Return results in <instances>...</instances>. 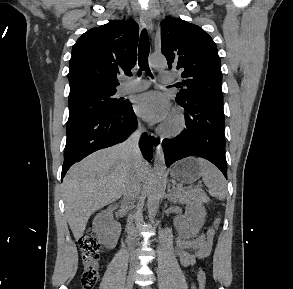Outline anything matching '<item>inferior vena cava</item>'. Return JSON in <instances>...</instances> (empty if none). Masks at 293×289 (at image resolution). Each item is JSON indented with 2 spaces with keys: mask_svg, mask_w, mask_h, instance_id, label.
<instances>
[{
  "mask_svg": "<svg viewBox=\"0 0 293 289\" xmlns=\"http://www.w3.org/2000/svg\"><path fill=\"white\" fill-rule=\"evenodd\" d=\"M142 133V128L139 127L136 132H134L125 143H123V146L126 150V152L133 158L134 160V168L131 171L129 178L126 182L125 189H124V198L123 202L124 204H130L132 200H134L141 190V176L138 172V167L142 160L141 151L138 146V141L140 138V135ZM128 229L130 230L131 234V240L129 243L130 250H131V260H135V256L133 255V248L131 245L134 244V240L136 237V233L134 231L133 225H132V218L130 217L128 219Z\"/></svg>",
  "mask_w": 293,
  "mask_h": 289,
  "instance_id": "1",
  "label": "inferior vena cava"
}]
</instances>
